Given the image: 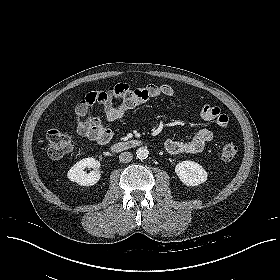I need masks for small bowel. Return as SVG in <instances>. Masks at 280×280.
I'll use <instances>...</instances> for the list:
<instances>
[{
	"label": "small bowel",
	"mask_w": 280,
	"mask_h": 280,
	"mask_svg": "<svg viewBox=\"0 0 280 280\" xmlns=\"http://www.w3.org/2000/svg\"><path fill=\"white\" fill-rule=\"evenodd\" d=\"M174 95V89L170 85H154L150 84L139 89H132L126 83H120L112 86L108 90L89 91L83 100L75 107L77 116L76 131L80 136L92 138L90 132L94 129L101 131H109L110 137L112 132L106 128L99 118L91 115L92 108L95 104L102 106L106 118L113 122L122 119L129 109L146 104L150 99ZM118 100V103L115 102ZM204 106L201 109V115H204ZM213 139V133L207 128L199 130L192 138L186 141H178L168 139L164 143L165 150L170 154L188 153L202 150ZM105 143L103 139H98ZM108 140V141H109Z\"/></svg>",
	"instance_id": "obj_1"
}]
</instances>
